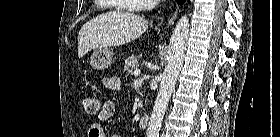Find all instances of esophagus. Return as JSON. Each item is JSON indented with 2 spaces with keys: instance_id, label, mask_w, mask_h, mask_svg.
Listing matches in <instances>:
<instances>
[{
  "instance_id": "esophagus-1",
  "label": "esophagus",
  "mask_w": 280,
  "mask_h": 137,
  "mask_svg": "<svg viewBox=\"0 0 280 137\" xmlns=\"http://www.w3.org/2000/svg\"><path fill=\"white\" fill-rule=\"evenodd\" d=\"M178 14H179V7L177 6L175 12L172 15V17L168 20L167 26H170V25H172L174 23V21L176 20Z\"/></svg>"
}]
</instances>
